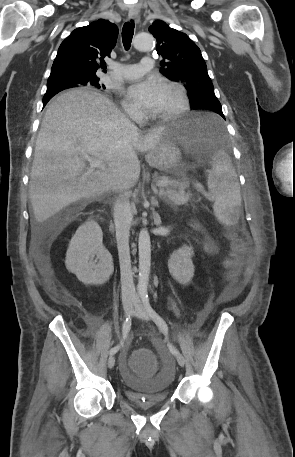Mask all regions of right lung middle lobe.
<instances>
[{
	"instance_id": "right-lung-middle-lobe-1",
	"label": "right lung middle lobe",
	"mask_w": 295,
	"mask_h": 457,
	"mask_svg": "<svg viewBox=\"0 0 295 457\" xmlns=\"http://www.w3.org/2000/svg\"><path fill=\"white\" fill-rule=\"evenodd\" d=\"M85 85H90V86H94L96 88H103L105 89V86L103 84H99V78L98 77H92V78H89L88 79V82L85 84ZM77 87V86H76ZM59 91H56V90H48L47 93L45 94L44 96V100H46V102L49 101V99L54 96L56 93H58Z\"/></svg>"
}]
</instances>
